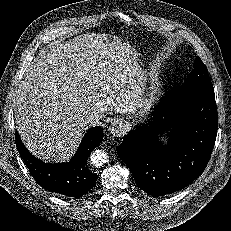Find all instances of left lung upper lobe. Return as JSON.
I'll use <instances>...</instances> for the list:
<instances>
[{
  "label": "left lung upper lobe",
  "instance_id": "5c2ea615",
  "mask_svg": "<svg viewBox=\"0 0 231 231\" xmlns=\"http://www.w3.org/2000/svg\"><path fill=\"white\" fill-rule=\"evenodd\" d=\"M184 86L213 88L207 68L199 57L195 59L194 69L190 72L187 78H185L182 87Z\"/></svg>",
  "mask_w": 231,
  "mask_h": 231
}]
</instances>
